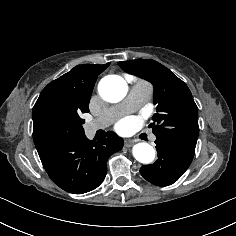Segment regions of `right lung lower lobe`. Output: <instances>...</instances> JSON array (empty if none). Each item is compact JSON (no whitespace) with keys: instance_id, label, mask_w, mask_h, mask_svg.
Listing matches in <instances>:
<instances>
[{"instance_id":"obj_1","label":"right lung lower lobe","mask_w":236,"mask_h":236,"mask_svg":"<svg viewBox=\"0 0 236 236\" xmlns=\"http://www.w3.org/2000/svg\"><path fill=\"white\" fill-rule=\"evenodd\" d=\"M124 141L113 132L97 141L85 133L54 139L36 146L50 178L67 192L82 194L97 188L107 173L106 162L120 151Z\"/></svg>"}]
</instances>
